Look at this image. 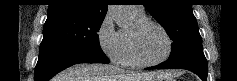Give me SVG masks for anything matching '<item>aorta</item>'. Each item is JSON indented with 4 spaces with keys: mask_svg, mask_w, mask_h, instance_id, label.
<instances>
[{
    "mask_svg": "<svg viewBox=\"0 0 237 81\" xmlns=\"http://www.w3.org/2000/svg\"><path fill=\"white\" fill-rule=\"evenodd\" d=\"M108 13L120 28H125L129 24V18L124 5H109Z\"/></svg>",
    "mask_w": 237,
    "mask_h": 81,
    "instance_id": "aorta-1",
    "label": "aorta"
}]
</instances>
